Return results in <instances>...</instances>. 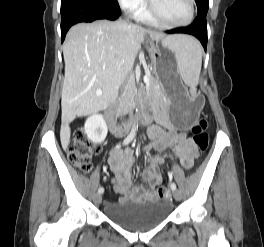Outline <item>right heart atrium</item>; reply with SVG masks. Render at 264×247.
Segmentation results:
<instances>
[{"instance_id":"right-heart-atrium-1","label":"right heart atrium","mask_w":264,"mask_h":247,"mask_svg":"<svg viewBox=\"0 0 264 247\" xmlns=\"http://www.w3.org/2000/svg\"><path fill=\"white\" fill-rule=\"evenodd\" d=\"M122 9L128 13H137L146 6L145 0H117Z\"/></svg>"}]
</instances>
